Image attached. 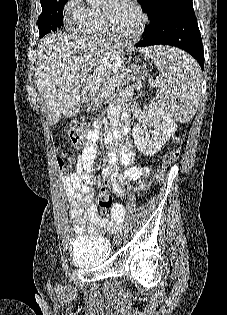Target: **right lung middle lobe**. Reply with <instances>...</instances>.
Returning <instances> with one entry per match:
<instances>
[{"instance_id": "obj_1", "label": "right lung middle lobe", "mask_w": 227, "mask_h": 315, "mask_svg": "<svg viewBox=\"0 0 227 315\" xmlns=\"http://www.w3.org/2000/svg\"><path fill=\"white\" fill-rule=\"evenodd\" d=\"M68 0H46L41 2L42 13L38 18L40 37L57 30L63 24V8Z\"/></svg>"}]
</instances>
